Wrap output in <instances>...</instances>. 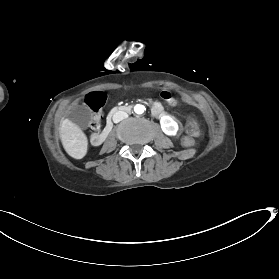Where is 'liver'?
Wrapping results in <instances>:
<instances>
[{
	"label": "liver",
	"instance_id": "obj_1",
	"mask_svg": "<svg viewBox=\"0 0 279 279\" xmlns=\"http://www.w3.org/2000/svg\"><path fill=\"white\" fill-rule=\"evenodd\" d=\"M59 136L66 153L76 160L83 159L88 150V138L74 122L65 118L61 121Z\"/></svg>",
	"mask_w": 279,
	"mask_h": 279
}]
</instances>
